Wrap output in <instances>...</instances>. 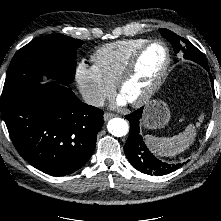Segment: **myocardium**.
<instances>
[{
	"label": "myocardium",
	"mask_w": 221,
	"mask_h": 221,
	"mask_svg": "<svg viewBox=\"0 0 221 221\" xmlns=\"http://www.w3.org/2000/svg\"><path fill=\"white\" fill-rule=\"evenodd\" d=\"M154 44H160L164 47L165 52H166V60H165V63L163 65V68H162L158 78L156 79L154 84L147 90V92L144 93L140 98L129 102V104L134 107H141V106L147 104L157 94V92L162 87V85L167 77V74L169 72L171 61H172L171 51H170V48L167 45V43L161 39H152V40H148L143 45H141L130 56L125 67L123 68L121 74L119 75V77L115 83L118 93L121 94L124 85L134 75L140 57L146 51V49H148L150 46H152Z\"/></svg>",
	"instance_id": "obj_1"
}]
</instances>
